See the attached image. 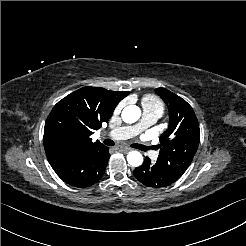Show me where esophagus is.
Returning a JSON list of instances; mask_svg holds the SVG:
<instances>
[{"instance_id":"34e87169","label":"esophagus","mask_w":246,"mask_h":246,"mask_svg":"<svg viewBox=\"0 0 246 246\" xmlns=\"http://www.w3.org/2000/svg\"><path fill=\"white\" fill-rule=\"evenodd\" d=\"M117 150L123 153H128L129 151H131V148L120 147V148H117Z\"/></svg>"}]
</instances>
